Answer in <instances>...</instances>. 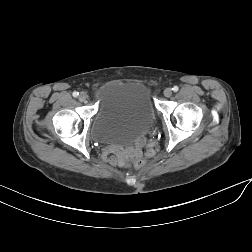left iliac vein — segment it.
Masks as SVG:
<instances>
[{
  "instance_id": "left-iliac-vein-1",
  "label": "left iliac vein",
  "mask_w": 252,
  "mask_h": 252,
  "mask_svg": "<svg viewBox=\"0 0 252 252\" xmlns=\"http://www.w3.org/2000/svg\"><path fill=\"white\" fill-rule=\"evenodd\" d=\"M165 97H170L172 95V89L171 88H166L163 92Z\"/></svg>"
}]
</instances>
